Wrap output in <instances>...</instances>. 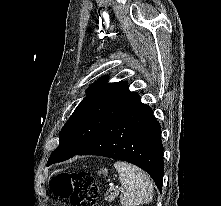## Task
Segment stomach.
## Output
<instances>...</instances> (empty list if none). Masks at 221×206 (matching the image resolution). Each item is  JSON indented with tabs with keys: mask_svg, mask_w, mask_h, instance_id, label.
<instances>
[{
	"mask_svg": "<svg viewBox=\"0 0 221 206\" xmlns=\"http://www.w3.org/2000/svg\"><path fill=\"white\" fill-rule=\"evenodd\" d=\"M100 173L106 175V174L108 173V171H107V169H102V170L100 171Z\"/></svg>",
	"mask_w": 221,
	"mask_h": 206,
	"instance_id": "obj_1",
	"label": "stomach"
}]
</instances>
